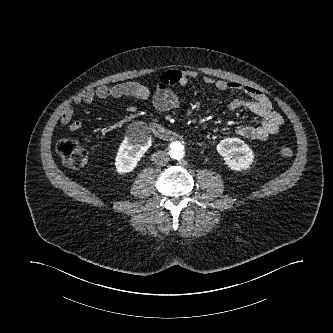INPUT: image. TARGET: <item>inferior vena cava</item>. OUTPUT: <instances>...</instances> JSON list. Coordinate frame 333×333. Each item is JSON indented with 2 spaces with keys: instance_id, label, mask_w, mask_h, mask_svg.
Here are the masks:
<instances>
[{
  "instance_id": "obj_1",
  "label": "inferior vena cava",
  "mask_w": 333,
  "mask_h": 333,
  "mask_svg": "<svg viewBox=\"0 0 333 333\" xmlns=\"http://www.w3.org/2000/svg\"><path fill=\"white\" fill-rule=\"evenodd\" d=\"M152 161L157 165H164L169 161V155L166 151H157L152 155Z\"/></svg>"
}]
</instances>
